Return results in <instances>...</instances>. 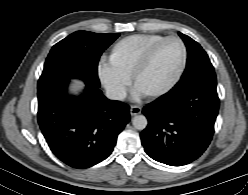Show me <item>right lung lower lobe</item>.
<instances>
[{
    "label": "right lung lower lobe",
    "mask_w": 248,
    "mask_h": 195,
    "mask_svg": "<svg viewBox=\"0 0 248 195\" xmlns=\"http://www.w3.org/2000/svg\"><path fill=\"white\" fill-rule=\"evenodd\" d=\"M69 80L38 89V123L53 154L76 169L92 167L113 151L130 120L129 106L108 100L86 84L78 97L67 95Z\"/></svg>",
    "instance_id": "obj_1"
}]
</instances>
